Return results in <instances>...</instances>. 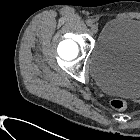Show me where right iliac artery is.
Here are the masks:
<instances>
[{"mask_svg": "<svg viewBox=\"0 0 140 140\" xmlns=\"http://www.w3.org/2000/svg\"><path fill=\"white\" fill-rule=\"evenodd\" d=\"M86 24H87L88 26H91V25L93 24V21H92L91 19H88V20L86 21Z\"/></svg>", "mask_w": 140, "mask_h": 140, "instance_id": "right-iliac-artery-1", "label": "right iliac artery"}]
</instances>
